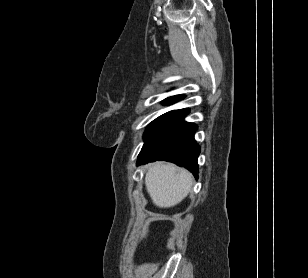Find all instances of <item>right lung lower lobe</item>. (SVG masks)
<instances>
[{"instance_id":"1","label":"right lung lower lobe","mask_w":308,"mask_h":278,"mask_svg":"<svg viewBox=\"0 0 308 278\" xmlns=\"http://www.w3.org/2000/svg\"><path fill=\"white\" fill-rule=\"evenodd\" d=\"M186 115L175 119L160 133L145 142L138 155L137 165L156 160L170 161L187 168L198 178L197 158L200 147L194 140L197 126L185 122L183 119Z\"/></svg>"}]
</instances>
